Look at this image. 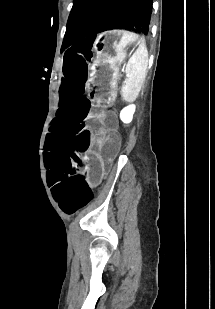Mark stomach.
<instances>
[{"label": "stomach", "instance_id": "obj_1", "mask_svg": "<svg viewBox=\"0 0 215 309\" xmlns=\"http://www.w3.org/2000/svg\"><path fill=\"white\" fill-rule=\"evenodd\" d=\"M142 43L138 34L122 29L109 30L97 36L94 44L96 56L87 79L94 100L104 101L114 96L120 64L131 48Z\"/></svg>", "mask_w": 215, "mask_h": 309}]
</instances>
